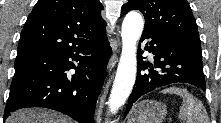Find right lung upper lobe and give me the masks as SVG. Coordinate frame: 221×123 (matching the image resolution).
<instances>
[{"mask_svg":"<svg viewBox=\"0 0 221 123\" xmlns=\"http://www.w3.org/2000/svg\"><path fill=\"white\" fill-rule=\"evenodd\" d=\"M99 0H39L21 32L16 58L56 52L105 34Z\"/></svg>","mask_w":221,"mask_h":123,"instance_id":"1","label":"right lung upper lobe"}]
</instances>
